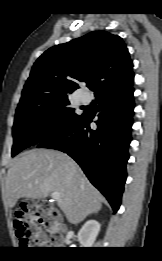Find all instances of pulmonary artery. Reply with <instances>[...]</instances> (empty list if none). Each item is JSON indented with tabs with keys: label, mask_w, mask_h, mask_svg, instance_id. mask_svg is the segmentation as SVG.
Instances as JSON below:
<instances>
[{
	"label": "pulmonary artery",
	"mask_w": 162,
	"mask_h": 261,
	"mask_svg": "<svg viewBox=\"0 0 162 261\" xmlns=\"http://www.w3.org/2000/svg\"><path fill=\"white\" fill-rule=\"evenodd\" d=\"M81 100L83 103L88 104L91 102L92 96L90 95V93L85 92L81 95Z\"/></svg>",
	"instance_id": "1"
}]
</instances>
